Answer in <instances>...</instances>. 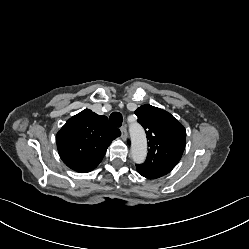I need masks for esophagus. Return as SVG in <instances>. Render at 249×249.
Here are the masks:
<instances>
[{"label": "esophagus", "mask_w": 249, "mask_h": 249, "mask_svg": "<svg viewBox=\"0 0 249 249\" xmlns=\"http://www.w3.org/2000/svg\"><path fill=\"white\" fill-rule=\"evenodd\" d=\"M121 137H122L123 140L127 139V129H126L125 126L121 127Z\"/></svg>", "instance_id": "esophagus-1"}]
</instances>
